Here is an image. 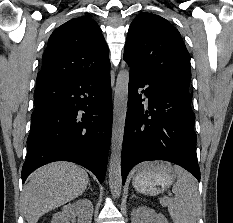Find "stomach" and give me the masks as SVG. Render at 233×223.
Segmentation results:
<instances>
[{"instance_id":"0dacf381","label":"stomach","mask_w":233,"mask_h":223,"mask_svg":"<svg viewBox=\"0 0 233 223\" xmlns=\"http://www.w3.org/2000/svg\"><path fill=\"white\" fill-rule=\"evenodd\" d=\"M176 167L168 161H147L137 169L132 181L134 189L145 195H158L172 185Z\"/></svg>"}]
</instances>
